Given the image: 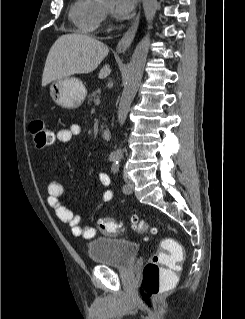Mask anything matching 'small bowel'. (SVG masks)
Returning <instances> with one entry per match:
<instances>
[{
    "mask_svg": "<svg viewBox=\"0 0 245 319\" xmlns=\"http://www.w3.org/2000/svg\"><path fill=\"white\" fill-rule=\"evenodd\" d=\"M82 133V129L78 124H72L68 128L61 129L57 132V140L61 143H68L73 138L79 137ZM100 184L105 188L102 193L101 201L99 202L97 209H100L104 204L109 203L114 198V193L108 189L110 185V178L105 172L98 174ZM64 184L58 180L50 181L48 185V197L47 202L49 206L55 211L58 218L67 223L75 236H81L85 239H92L96 235V229L92 224L81 225V218L75 215L69 208L61 202V197L64 194Z\"/></svg>",
    "mask_w": 245,
    "mask_h": 319,
    "instance_id": "small-bowel-1",
    "label": "small bowel"
}]
</instances>
